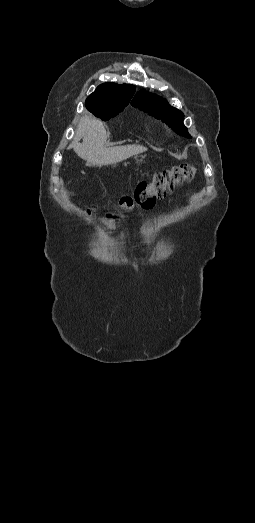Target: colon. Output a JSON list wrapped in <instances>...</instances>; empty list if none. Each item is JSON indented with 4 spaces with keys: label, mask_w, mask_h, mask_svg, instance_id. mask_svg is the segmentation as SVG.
Returning <instances> with one entry per match:
<instances>
[{
    "label": "colon",
    "mask_w": 255,
    "mask_h": 523,
    "mask_svg": "<svg viewBox=\"0 0 255 523\" xmlns=\"http://www.w3.org/2000/svg\"><path fill=\"white\" fill-rule=\"evenodd\" d=\"M196 173V167L190 164L173 166L156 173L150 181L140 182L132 195L121 198L118 207L130 211L135 207L152 208L157 199L163 198L175 186L189 182Z\"/></svg>",
    "instance_id": "obj_1"
}]
</instances>
